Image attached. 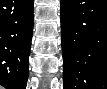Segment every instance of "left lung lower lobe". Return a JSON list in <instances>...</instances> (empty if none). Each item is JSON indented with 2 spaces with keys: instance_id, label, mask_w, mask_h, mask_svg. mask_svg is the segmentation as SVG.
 Segmentation results:
<instances>
[{
  "instance_id": "left-lung-lower-lobe-1",
  "label": "left lung lower lobe",
  "mask_w": 107,
  "mask_h": 89,
  "mask_svg": "<svg viewBox=\"0 0 107 89\" xmlns=\"http://www.w3.org/2000/svg\"><path fill=\"white\" fill-rule=\"evenodd\" d=\"M63 89H107V0H61Z\"/></svg>"
}]
</instances>
